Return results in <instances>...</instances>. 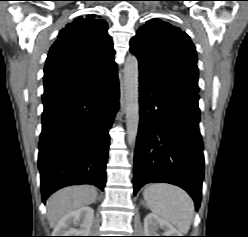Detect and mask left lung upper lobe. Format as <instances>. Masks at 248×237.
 I'll use <instances>...</instances> for the list:
<instances>
[{"instance_id": "1", "label": "left lung upper lobe", "mask_w": 248, "mask_h": 237, "mask_svg": "<svg viewBox=\"0 0 248 237\" xmlns=\"http://www.w3.org/2000/svg\"><path fill=\"white\" fill-rule=\"evenodd\" d=\"M140 77L167 90L198 93L197 54L190 37L167 22L152 19L130 41Z\"/></svg>"}]
</instances>
